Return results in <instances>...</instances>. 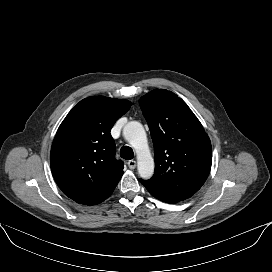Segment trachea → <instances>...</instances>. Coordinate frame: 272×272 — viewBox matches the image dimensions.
I'll return each mask as SVG.
<instances>
[{
    "label": "trachea",
    "instance_id": "3493384b",
    "mask_svg": "<svg viewBox=\"0 0 272 272\" xmlns=\"http://www.w3.org/2000/svg\"><path fill=\"white\" fill-rule=\"evenodd\" d=\"M120 156L123 158V159H126V160H131L133 159V156H134V153H133V150L131 147L129 146H124L121 151H120Z\"/></svg>",
    "mask_w": 272,
    "mask_h": 272
}]
</instances>
